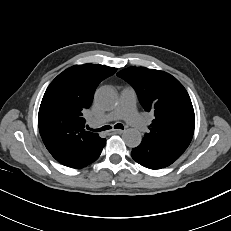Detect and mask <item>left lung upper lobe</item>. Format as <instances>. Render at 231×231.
I'll use <instances>...</instances> for the list:
<instances>
[{
	"instance_id": "obj_1",
	"label": "left lung upper lobe",
	"mask_w": 231,
	"mask_h": 231,
	"mask_svg": "<svg viewBox=\"0 0 231 231\" xmlns=\"http://www.w3.org/2000/svg\"><path fill=\"white\" fill-rule=\"evenodd\" d=\"M135 89L141 105L154 114L143 139L168 143L184 152L195 127L191 99L172 75L145 67H129L117 73Z\"/></svg>"
}]
</instances>
